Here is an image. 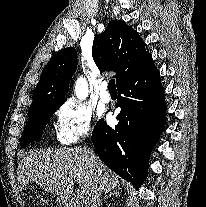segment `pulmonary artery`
Returning a JSON list of instances; mask_svg holds the SVG:
<instances>
[{"mask_svg": "<svg viewBox=\"0 0 206 207\" xmlns=\"http://www.w3.org/2000/svg\"><path fill=\"white\" fill-rule=\"evenodd\" d=\"M107 82H103L101 85V91L99 94L100 100L104 103H109L111 101V95L107 90Z\"/></svg>", "mask_w": 206, "mask_h": 207, "instance_id": "pulmonary-artery-1", "label": "pulmonary artery"}]
</instances>
